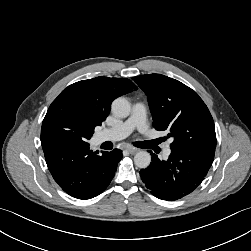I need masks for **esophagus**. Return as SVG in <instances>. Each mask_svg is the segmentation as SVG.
<instances>
[{"label":"esophagus","mask_w":251,"mask_h":251,"mask_svg":"<svg viewBox=\"0 0 251 251\" xmlns=\"http://www.w3.org/2000/svg\"><path fill=\"white\" fill-rule=\"evenodd\" d=\"M126 150L130 153V154H136L139 149L134 148V147H127Z\"/></svg>","instance_id":"34e87169"}]
</instances>
